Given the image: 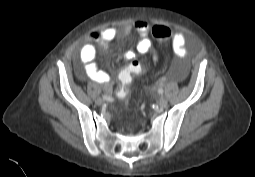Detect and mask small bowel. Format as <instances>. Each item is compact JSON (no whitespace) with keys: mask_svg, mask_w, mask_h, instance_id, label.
Returning a JSON list of instances; mask_svg holds the SVG:
<instances>
[{"mask_svg":"<svg viewBox=\"0 0 255 177\" xmlns=\"http://www.w3.org/2000/svg\"><path fill=\"white\" fill-rule=\"evenodd\" d=\"M132 30H134L140 37L137 44V51L141 54L148 53L151 49L148 23L144 21H136L132 25H126L123 33L126 35ZM117 35V30L112 27L105 28L101 32L92 33L84 42L80 51L81 67L77 69L78 76L80 78L87 77L94 82L105 84L107 86V91L110 90V77L105 71L99 69L95 63V43L102 47H106L117 37ZM172 47L174 53L179 58H185L187 56V51L185 49V36L182 32L177 31L174 33L172 38ZM124 57L126 60H133L135 58V53L133 51H128L125 53Z\"/></svg>","mask_w":255,"mask_h":177,"instance_id":"1","label":"small bowel"}]
</instances>
